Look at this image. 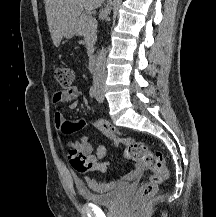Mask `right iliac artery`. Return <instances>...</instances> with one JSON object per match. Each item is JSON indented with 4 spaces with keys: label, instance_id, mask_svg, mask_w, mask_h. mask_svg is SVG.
<instances>
[{
    "label": "right iliac artery",
    "instance_id": "82829eb1",
    "mask_svg": "<svg viewBox=\"0 0 216 217\" xmlns=\"http://www.w3.org/2000/svg\"><path fill=\"white\" fill-rule=\"evenodd\" d=\"M89 94L92 98H94L97 94V87L96 85H92L89 91Z\"/></svg>",
    "mask_w": 216,
    "mask_h": 217
}]
</instances>
